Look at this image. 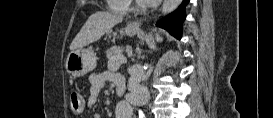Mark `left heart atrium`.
Listing matches in <instances>:
<instances>
[{
    "label": "left heart atrium",
    "instance_id": "left-heart-atrium-1",
    "mask_svg": "<svg viewBox=\"0 0 273 118\" xmlns=\"http://www.w3.org/2000/svg\"><path fill=\"white\" fill-rule=\"evenodd\" d=\"M140 2L145 5H155L159 2V0H140Z\"/></svg>",
    "mask_w": 273,
    "mask_h": 118
}]
</instances>
